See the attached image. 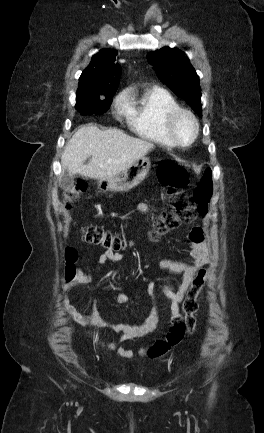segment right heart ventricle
<instances>
[{"instance_id": "obj_1", "label": "right heart ventricle", "mask_w": 264, "mask_h": 433, "mask_svg": "<svg viewBox=\"0 0 264 433\" xmlns=\"http://www.w3.org/2000/svg\"><path fill=\"white\" fill-rule=\"evenodd\" d=\"M179 107L166 90L152 88L138 97L128 98L126 120L129 129L137 136L165 146H174L164 129V117Z\"/></svg>"}]
</instances>
